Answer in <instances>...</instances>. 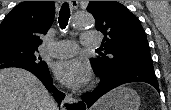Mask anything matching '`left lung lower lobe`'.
<instances>
[{
	"label": "left lung lower lobe",
	"mask_w": 171,
	"mask_h": 110,
	"mask_svg": "<svg viewBox=\"0 0 171 110\" xmlns=\"http://www.w3.org/2000/svg\"><path fill=\"white\" fill-rule=\"evenodd\" d=\"M100 83L96 89L82 98L85 107L89 108L98 98L115 87L130 82H145L152 85L159 92L154 68L129 67L120 68L112 72L99 75Z\"/></svg>",
	"instance_id": "1"
}]
</instances>
